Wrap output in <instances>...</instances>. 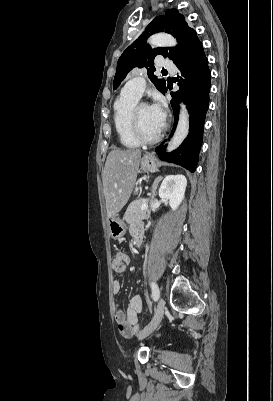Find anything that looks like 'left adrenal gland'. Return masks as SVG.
<instances>
[{"label": "left adrenal gland", "instance_id": "obj_1", "mask_svg": "<svg viewBox=\"0 0 273 401\" xmlns=\"http://www.w3.org/2000/svg\"><path fill=\"white\" fill-rule=\"evenodd\" d=\"M163 176H156L153 184H152V198H155L156 194H157V186H158V182H160V180H162Z\"/></svg>", "mask_w": 273, "mask_h": 401}]
</instances>
